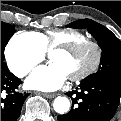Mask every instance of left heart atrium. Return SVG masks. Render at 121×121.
<instances>
[{
	"label": "left heart atrium",
	"instance_id": "obj_1",
	"mask_svg": "<svg viewBox=\"0 0 121 121\" xmlns=\"http://www.w3.org/2000/svg\"><path fill=\"white\" fill-rule=\"evenodd\" d=\"M66 80V75L63 71L54 64L38 67L28 79V84L31 87L53 91L60 88Z\"/></svg>",
	"mask_w": 121,
	"mask_h": 121
}]
</instances>
